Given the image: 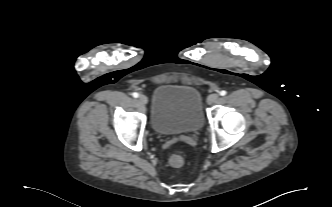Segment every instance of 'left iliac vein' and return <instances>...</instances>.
<instances>
[{
    "instance_id": "4c4485c4",
    "label": "left iliac vein",
    "mask_w": 332,
    "mask_h": 207,
    "mask_svg": "<svg viewBox=\"0 0 332 207\" xmlns=\"http://www.w3.org/2000/svg\"><path fill=\"white\" fill-rule=\"evenodd\" d=\"M219 99H220L219 94H217V93H213V94H210V95L208 96V98H207V103H208L209 105H212V104L217 103V102L219 101Z\"/></svg>"
}]
</instances>
